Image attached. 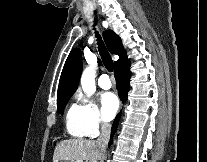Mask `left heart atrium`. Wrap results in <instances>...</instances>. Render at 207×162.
<instances>
[{
	"mask_svg": "<svg viewBox=\"0 0 207 162\" xmlns=\"http://www.w3.org/2000/svg\"><path fill=\"white\" fill-rule=\"evenodd\" d=\"M119 108V100L112 92L104 93L101 97V112L106 121L111 120Z\"/></svg>",
	"mask_w": 207,
	"mask_h": 162,
	"instance_id": "obj_1",
	"label": "left heart atrium"
}]
</instances>
